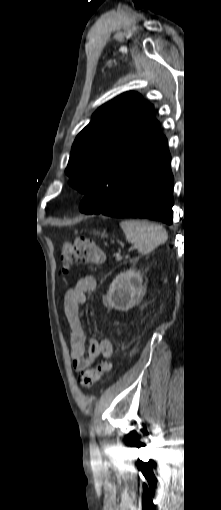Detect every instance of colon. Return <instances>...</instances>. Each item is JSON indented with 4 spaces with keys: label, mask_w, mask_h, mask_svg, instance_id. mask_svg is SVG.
<instances>
[{
    "label": "colon",
    "mask_w": 221,
    "mask_h": 510,
    "mask_svg": "<svg viewBox=\"0 0 221 510\" xmlns=\"http://www.w3.org/2000/svg\"><path fill=\"white\" fill-rule=\"evenodd\" d=\"M105 253L88 238H78L73 243L66 242L62 246L60 260L65 270H68L75 263L102 264L105 261ZM111 369L109 361L100 362L93 370L80 373L79 381L83 388L89 389L101 377Z\"/></svg>",
    "instance_id": "5ec220e1"
}]
</instances>
